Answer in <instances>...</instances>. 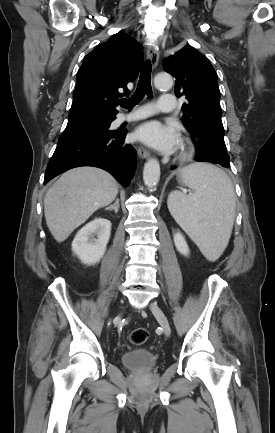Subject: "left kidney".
<instances>
[{
	"label": "left kidney",
	"instance_id": "1",
	"mask_svg": "<svg viewBox=\"0 0 275 433\" xmlns=\"http://www.w3.org/2000/svg\"><path fill=\"white\" fill-rule=\"evenodd\" d=\"M174 243H175L176 249L181 254H183L185 256H187L189 254V248H188L187 242L181 233H176L174 235Z\"/></svg>",
	"mask_w": 275,
	"mask_h": 433
}]
</instances>
